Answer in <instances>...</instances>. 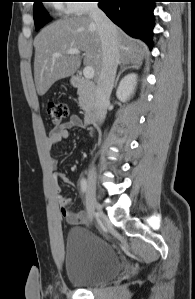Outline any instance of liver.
I'll list each match as a JSON object with an SVG mask.
<instances>
[{
    "label": "liver",
    "mask_w": 195,
    "mask_h": 299,
    "mask_svg": "<svg viewBox=\"0 0 195 299\" xmlns=\"http://www.w3.org/2000/svg\"><path fill=\"white\" fill-rule=\"evenodd\" d=\"M116 30L120 63H141L148 53L147 46L130 38L118 27ZM34 47V79L40 96L57 80L73 75L81 65L79 54H67L71 48L84 51V64L92 66L96 78H99L102 68L101 41L95 22L88 16L64 18L48 25L35 37ZM55 53L61 56L55 57Z\"/></svg>",
    "instance_id": "6515ba94"
}]
</instances>
